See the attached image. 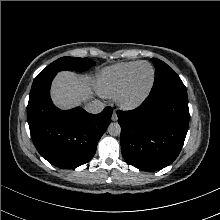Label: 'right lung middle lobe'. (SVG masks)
<instances>
[{
    "instance_id": "obj_1",
    "label": "right lung middle lobe",
    "mask_w": 220,
    "mask_h": 220,
    "mask_svg": "<svg viewBox=\"0 0 220 220\" xmlns=\"http://www.w3.org/2000/svg\"><path fill=\"white\" fill-rule=\"evenodd\" d=\"M94 65L95 62L89 58L62 57L42 70L36 78H41L62 70L85 71Z\"/></svg>"
}]
</instances>
